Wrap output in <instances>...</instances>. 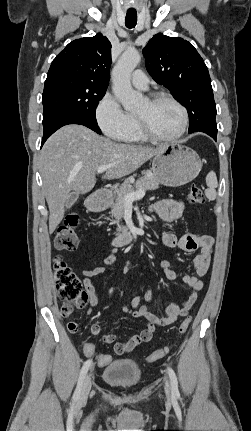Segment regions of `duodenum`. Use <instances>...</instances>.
Wrapping results in <instances>:
<instances>
[{"instance_id": "duodenum-1", "label": "duodenum", "mask_w": 251, "mask_h": 431, "mask_svg": "<svg viewBox=\"0 0 251 431\" xmlns=\"http://www.w3.org/2000/svg\"><path fill=\"white\" fill-rule=\"evenodd\" d=\"M98 204V200L97 199H92L89 203V206L92 209H96ZM132 233L130 231H124L121 234H119L114 240H113V244L115 246H123L128 244L131 240H132Z\"/></svg>"}]
</instances>
